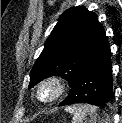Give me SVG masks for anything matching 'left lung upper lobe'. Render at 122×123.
Returning <instances> with one entry per match:
<instances>
[{"label":"left lung upper lobe","instance_id":"obj_1","mask_svg":"<svg viewBox=\"0 0 122 123\" xmlns=\"http://www.w3.org/2000/svg\"><path fill=\"white\" fill-rule=\"evenodd\" d=\"M107 42L95 13L83 6L66 10L31 70L29 88L53 75L65 78L72 85L85 64Z\"/></svg>","mask_w":122,"mask_h":123}]
</instances>
